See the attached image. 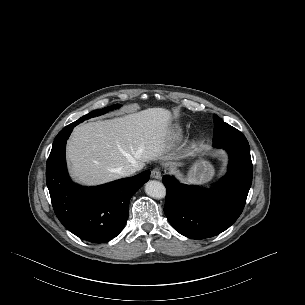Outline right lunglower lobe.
<instances>
[{
	"label": "right lung lower lobe",
	"mask_w": 305,
	"mask_h": 305,
	"mask_svg": "<svg viewBox=\"0 0 305 305\" xmlns=\"http://www.w3.org/2000/svg\"><path fill=\"white\" fill-rule=\"evenodd\" d=\"M80 119L56 136L46 164V183L56 216L79 238L104 243L123 229L131 196L150 178L146 170L136 176L96 187H82L71 181L65 160L66 142Z\"/></svg>",
	"instance_id": "98d812e1"
}]
</instances>
